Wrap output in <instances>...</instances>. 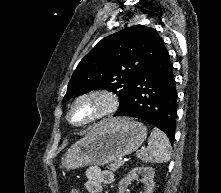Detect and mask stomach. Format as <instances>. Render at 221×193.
<instances>
[{"instance_id":"0dacf381","label":"stomach","mask_w":221,"mask_h":193,"mask_svg":"<svg viewBox=\"0 0 221 193\" xmlns=\"http://www.w3.org/2000/svg\"><path fill=\"white\" fill-rule=\"evenodd\" d=\"M147 137V128L132 119L106 120L96 124L81 140L73 144L61 158L67 170L89 165H105L134 152Z\"/></svg>"}]
</instances>
